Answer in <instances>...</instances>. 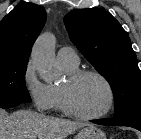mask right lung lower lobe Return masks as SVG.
I'll use <instances>...</instances> for the list:
<instances>
[{
  "instance_id": "right-lung-lower-lobe-1",
  "label": "right lung lower lobe",
  "mask_w": 141,
  "mask_h": 139,
  "mask_svg": "<svg viewBox=\"0 0 141 139\" xmlns=\"http://www.w3.org/2000/svg\"><path fill=\"white\" fill-rule=\"evenodd\" d=\"M17 105H19V104H12V105H7V106H0V108L7 109V108L14 107V106H17Z\"/></svg>"
}]
</instances>
